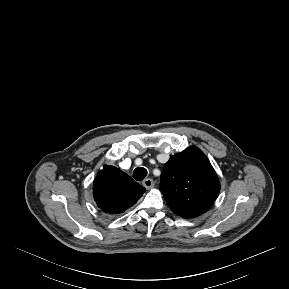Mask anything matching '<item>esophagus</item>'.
<instances>
[{"label":"esophagus","mask_w":289,"mask_h":289,"mask_svg":"<svg viewBox=\"0 0 289 289\" xmlns=\"http://www.w3.org/2000/svg\"><path fill=\"white\" fill-rule=\"evenodd\" d=\"M142 184L146 189H151L155 185L154 181L150 178L145 179Z\"/></svg>","instance_id":"esophagus-1"}]
</instances>
